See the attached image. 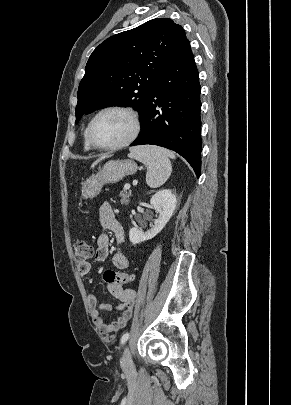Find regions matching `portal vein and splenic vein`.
Segmentation results:
<instances>
[{"label": "portal vein and splenic vein", "mask_w": 291, "mask_h": 405, "mask_svg": "<svg viewBox=\"0 0 291 405\" xmlns=\"http://www.w3.org/2000/svg\"><path fill=\"white\" fill-rule=\"evenodd\" d=\"M130 184H125L124 189L129 190L130 189Z\"/></svg>", "instance_id": "obj_1"}]
</instances>
